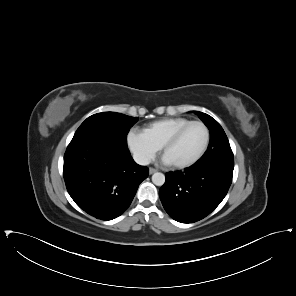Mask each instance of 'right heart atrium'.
Returning <instances> with one entry per match:
<instances>
[{
    "label": "right heart atrium",
    "instance_id": "d8ad5b80",
    "mask_svg": "<svg viewBox=\"0 0 296 296\" xmlns=\"http://www.w3.org/2000/svg\"><path fill=\"white\" fill-rule=\"evenodd\" d=\"M127 143L132 153L142 163L150 162L159 151V147L137 128L129 132Z\"/></svg>",
    "mask_w": 296,
    "mask_h": 296
}]
</instances>
